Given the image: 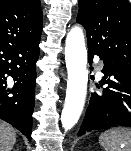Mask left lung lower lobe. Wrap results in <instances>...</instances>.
<instances>
[{"label":"left lung lower lobe","mask_w":131,"mask_h":151,"mask_svg":"<svg viewBox=\"0 0 131 151\" xmlns=\"http://www.w3.org/2000/svg\"><path fill=\"white\" fill-rule=\"evenodd\" d=\"M88 55L91 65L93 55L98 54L89 50ZM99 57L104 63V77L100 82L104 87L102 92L91 94L78 136L93 130L131 127V70Z\"/></svg>","instance_id":"left-lung-lower-lobe-1"}]
</instances>
